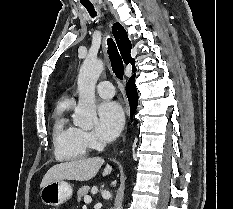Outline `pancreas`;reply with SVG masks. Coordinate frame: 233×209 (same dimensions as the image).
Returning <instances> with one entry per match:
<instances>
[{
	"instance_id": "cf45deb5",
	"label": "pancreas",
	"mask_w": 233,
	"mask_h": 209,
	"mask_svg": "<svg viewBox=\"0 0 233 209\" xmlns=\"http://www.w3.org/2000/svg\"><path fill=\"white\" fill-rule=\"evenodd\" d=\"M90 187L89 186H82L78 192H77V198L78 201H80L82 198H85L86 196H88V191H89Z\"/></svg>"
}]
</instances>
